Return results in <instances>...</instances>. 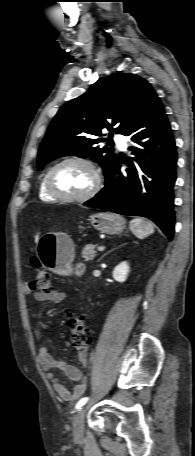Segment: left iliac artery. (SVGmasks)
<instances>
[{
    "instance_id": "44dca946",
    "label": "left iliac artery",
    "mask_w": 195,
    "mask_h": 456,
    "mask_svg": "<svg viewBox=\"0 0 195 456\" xmlns=\"http://www.w3.org/2000/svg\"><path fill=\"white\" fill-rule=\"evenodd\" d=\"M88 399H89L88 397H84V398L80 399V400L78 401V403L76 404V409H77V410H78V409H81V407H82L83 405L86 404V402L88 401Z\"/></svg>"
}]
</instances>
